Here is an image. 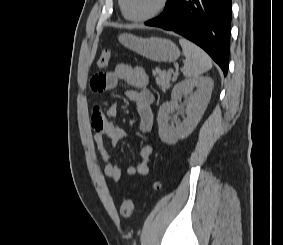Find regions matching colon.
<instances>
[{"mask_svg": "<svg viewBox=\"0 0 283 245\" xmlns=\"http://www.w3.org/2000/svg\"><path fill=\"white\" fill-rule=\"evenodd\" d=\"M111 56H112V51L110 49L104 50L100 54V56L98 57V59L96 61L97 66L100 67V68L106 67L111 60ZM152 188L158 189L159 183L154 182L152 184ZM133 211H134V200H133V198H131V197L125 198L120 204V213L124 217H130L133 214Z\"/></svg>", "mask_w": 283, "mask_h": 245, "instance_id": "1", "label": "colon"}]
</instances>
